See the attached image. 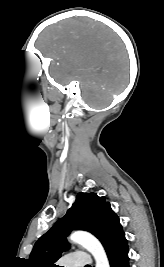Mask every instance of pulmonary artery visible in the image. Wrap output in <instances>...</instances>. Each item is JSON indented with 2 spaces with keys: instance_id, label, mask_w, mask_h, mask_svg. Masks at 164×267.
Listing matches in <instances>:
<instances>
[{
  "instance_id": "pulmonary-artery-1",
  "label": "pulmonary artery",
  "mask_w": 164,
  "mask_h": 267,
  "mask_svg": "<svg viewBox=\"0 0 164 267\" xmlns=\"http://www.w3.org/2000/svg\"><path fill=\"white\" fill-rule=\"evenodd\" d=\"M90 256L86 253L74 252L67 256L64 262L65 267H84L90 264Z\"/></svg>"
}]
</instances>
